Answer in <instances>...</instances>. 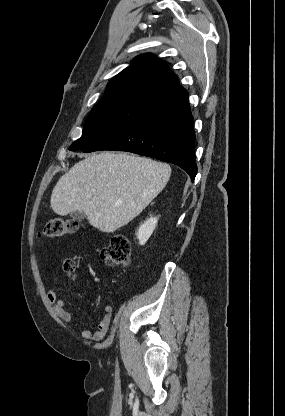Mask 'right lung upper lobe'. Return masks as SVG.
<instances>
[{
    "label": "right lung upper lobe",
    "instance_id": "obj_1",
    "mask_svg": "<svg viewBox=\"0 0 285 416\" xmlns=\"http://www.w3.org/2000/svg\"><path fill=\"white\" fill-rule=\"evenodd\" d=\"M150 53L137 56L132 64L117 74L107 85L100 101L133 95L156 103L161 108L188 100V92L178 84L167 63Z\"/></svg>",
    "mask_w": 285,
    "mask_h": 416
}]
</instances>
